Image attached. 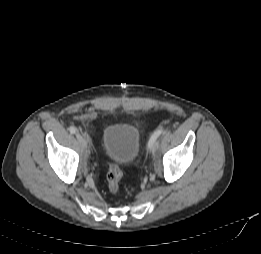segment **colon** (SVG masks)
<instances>
[{
	"label": "colon",
	"instance_id": "colon-1",
	"mask_svg": "<svg viewBox=\"0 0 261 254\" xmlns=\"http://www.w3.org/2000/svg\"><path fill=\"white\" fill-rule=\"evenodd\" d=\"M123 176L122 169L116 163H111L107 172L108 189L112 194L119 191L120 182Z\"/></svg>",
	"mask_w": 261,
	"mask_h": 254
}]
</instances>
